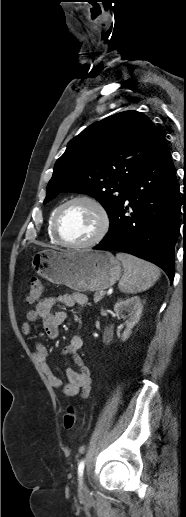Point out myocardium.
Returning <instances> with one entry per match:
<instances>
[{"label": "myocardium", "mask_w": 186, "mask_h": 517, "mask_svg": "<svg viewBox=\"0 0 186 517\" xmlns=\"http://www.w3.org/2000/svg\"><path fill=\"white\" fill-rule=\"evenodd\" d=\"M77 202H84L89 205H91L95 211L98 214L99 217V228L95 235L90 238L89 240L81 243H71L66 241L60 234L59 231V220L61 217V214L63 211L70 205L77 203ZM110 228V217L108 214V211L106 210L105 206L95 197L90 195H78L75 197H72L71 199L67 200L63 204H61L52 219V231L55 239L58 241L59 244H61L64 247L67 248H73V249H83V248H89L96 244H98L108 233Z\"/></svg>", "instance_id": "f54148a6"}]
</instances>
